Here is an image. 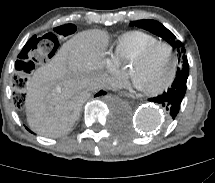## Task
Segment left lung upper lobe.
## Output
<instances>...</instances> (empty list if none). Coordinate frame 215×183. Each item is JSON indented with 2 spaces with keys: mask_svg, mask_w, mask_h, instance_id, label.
I'll list each match as a JSON object with an SVG mask.
<instances>
[{
  "mask_svg": "<svg viewBox=\"0 0 215 183\" xmlns=\"http://www.w3.org/2000/svg\"><path fill=\"white\" fill-rule=\"evenodd\" d=\"M130 25L146 29L166 40L174 49H176L179 57L178 60L182 62V67L177 69L176 75L181 73L189 74V64L187 57L185 56L184 45L176 39L172 32L165 28L161 23L154 20L132 21Z\"/></svg>",
  "mask_w": 215,
  "mask_h": 183,
  "instance_id": "1",
  "label": "left lung upper lobe"
}]
</instances>
